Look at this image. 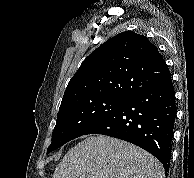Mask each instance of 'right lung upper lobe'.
I'll list each match as a JSON object with an SVG mask.
<instances>
[{
	"label": "right lung upper lobe",
	"instance_id": "right-lung-upper-lobe-1",
	"mask_svg": "<svg viewBox=\"0 0 194 178\" xmlns=\"http://www.w3.org/2000/svg\"><path fill=\"white\" fill-rule=\"evenodd\" d=\"M171 80L168 66L147 37L122 32L95 49L65 90L61 106L90 97L129 99Z\"/></svg>",
	"mask_w": 194,
	"mask_h": 178
}]
</instances>
